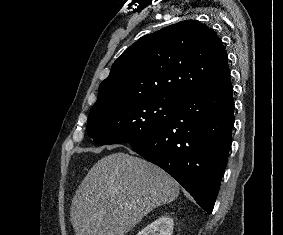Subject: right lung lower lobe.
Masks as SVG:
<instances>
[{"label":"right lung lower lobe","mask_w":283,"mask_h":235,"mask_svg":"<svg viewBox=\"0 0 283 235\" xmlns=\"http://www.w3.org/2000/svg\"><path fill=\"white\" fill-rule=\"evenodd\" d=\"M233 112L228 78L181 96L166 124L129 144L175 178L211 214L231 146Z\"/></svg>","instance_id":"right-lung-lower-lobe-1"}]
</instances>
